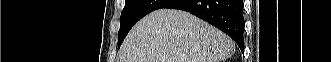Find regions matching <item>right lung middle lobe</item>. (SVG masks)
Listing matches in <instances>:
<instances>
[{
	"label": "right lung middle lobe",
	"mask_w": 331,
	"mask_h": 62,
	"mask_svg": "<svg viewBox=\"0 0 331 62\" xmlns=\"http://www.w3.org/2000/svg\"><path fill=\"white\" fill-rule=\"evenodd\" d=\"M172 0H125L121 13V26L118 32V47L132 26L148 13L165 7Z\"/></svg>",
	"instance_id": "obj_1"
}]
</instances>
